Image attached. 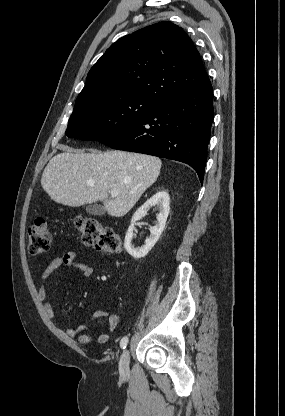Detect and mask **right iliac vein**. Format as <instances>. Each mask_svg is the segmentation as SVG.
Wrapping results in <instances>:
<instances>
[{
    "label": "right iliac vein",
    "instance_id": "obj_1",
    "mask_svg": "<svg viewBox=\"0 0 285 416\" xmlns=\"http://www.w3.org/2000/svg\"><path fill=\"white\" fill-rule=\"evenodd\" d=\"M129 359H130L129 351L125 349L122 353V356L119 362V370H120L121 375L123 376H126L129 374Z\"/></svg>",
    "mask_w": 285,
    "mask_h": 416
}]
</instances>
